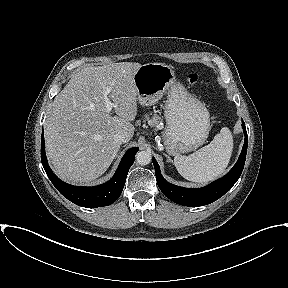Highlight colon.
Instances as JSON below:
<instances>
[{"mask_svg": "<svg viewBox=\"0 0 288 288\" xmlns=\"http://www.w3.org/2000/svg\"><path fill=\"white\" fill-rule=\"evenodd\" d=\"M187 81L190 85H204L207 83L205 79L201 78L197 74H190Z\"/></svg>", "mask_w": 288, "mask_h": 288, "instance_id": "1", "label": "colon"}]
</instances>
